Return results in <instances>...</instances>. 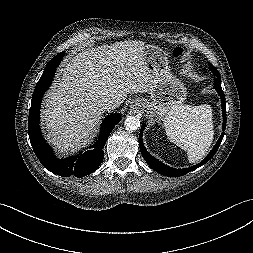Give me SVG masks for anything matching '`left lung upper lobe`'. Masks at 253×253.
<instances>
[{
	"mask_svg": "<svg viewBox=\"0 0 253 253\" xmlns=\"http://www.w3.org/2000/svg\"><path fill=\"white\" fill-rule=\"evenodd\" d=\"M210 66L214 67L212 64H210ZM212 67H211V68H212ZM214 68H215V67H214Z\"/></svg>",
	"mask_w": 253,
	"mask_h": 253,
	"instance_id": "left-lung-upper-lobe-1",
	"label": "left lung upper lobe"
}]
</instances>
